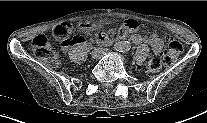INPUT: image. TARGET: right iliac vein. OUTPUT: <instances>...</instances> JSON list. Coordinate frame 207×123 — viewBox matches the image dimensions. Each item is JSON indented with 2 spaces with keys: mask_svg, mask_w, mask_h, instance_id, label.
<instances>
[{
  "mask_svg": "<svg viewBox=\"0 0 207 123\" xmlns=\"http://www.w3.org/2000/svg\"><path fill=\"white\" fill-rule=\"evenodd\" d=\"M99 56H100V51H99V50H94V51L92 52V54H91V57H92L93 59H98Z\"/></svg>",
  "mask_w": 207,
  "mask_h": 123,
  "instance_id": "63e3f726",
  "label": "right iliac vein"
}]
</instances>
